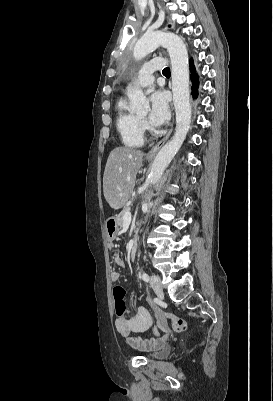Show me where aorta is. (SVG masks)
Instances as JSON below:
<instances>
[{
	"instance_id": "obj_1",
	"label": "aorta",
	"mask_w": 273,
	"mask_h": 401,
	"mask_svg": "<svg viewBox=\"0 0 273 401\" xmlns=\"http://www.w3.org/2000/svg\"><path fill=\"white\" fill-rule=\"evenodd\" d=\"M167 49L172 66V92L176 115L174 136L160 149L156 155L148 183L154 186L181 148L190 129L192 109L190 103L188 53L182 39L171 32L146 33L134 47V57L137 60L144 58L159 46ZM131 109L137 114L147 113L149 102L140 89L129 94Z\"/></svg>"
}]
</instances>
